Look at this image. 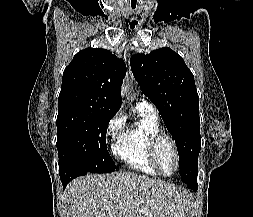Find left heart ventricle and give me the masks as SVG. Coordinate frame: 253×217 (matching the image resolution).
I'll return each mask as SVG.
<instances>
[{
	"label": "left heart ventricle",
	"instance_id": "1",
	"mask_svg": "<svg viewBox=\"0 0 253 217\" xmlns=\"http://www.w3.org/2000/svg\"><path fill=\"white\" fill-rule=\"evenodd\" d=\"M158 159L163 171L167 174L173 173L176 160L173 149L167 141H163L158 147Z\"/></svg>",
	"mask_w": 253,
	"mask_h": 217
}]
</instances>
